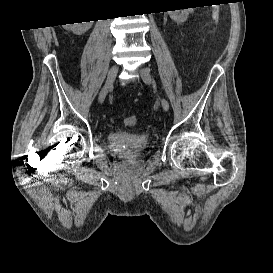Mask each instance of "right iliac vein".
I'll list each match as a JSON object with an SVG mask.
<instances>
[{
    "instance_id": "63e3f726",
    "label": "right iliac vein",
    "mask_w": 273,
    "mask_h": 273,
    "mask_svg": "<svg viewBox=\"0 0 273 273\" xmlns=\"http://www.w3.org/2000/svg\"><path fill=\"white\" fill-rule=\"evenodd\" d=\"M118 73V66L117 65H113L109 72H108V76H107V80L105 82V85L103 86V88L101 89L99 96H98V102L102 103L108 93V91L112 88L114 81L116 79Z\"/></svg>"
}]
</instances>
